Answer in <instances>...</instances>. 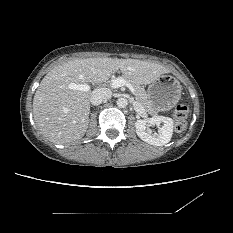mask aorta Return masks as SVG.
Listing matches in <instances>:
<instances>
[{
	"mask_svg": "<svg viewBox=\"0 0 233 233\" xmlns=\"http://www.w3.org/2000/svg\"><path fill=\"white\" fill-rule=\"evenodd\" d=\"M116 103L119 108H125L128 104V100L124 97H120L117 99Z\"/></svg>",
	"mask_w": 233,
	"mask_h": 233,
	"instance_id": "762f6f07",
	"label": "aorta"
}]
</instances>
